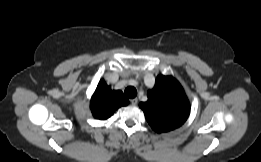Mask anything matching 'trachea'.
<instances>
[{
  "instance_id": "1",
  "label": "trachea",
  "mask_w": 261,
  "mask_h": 162,
  "mask_svg": "<svg viewBox=\"0 0 261 162\" xmlns=\"http://www.w3.org/2000/svg\"><path fill=\"white\" fill-rule=\"evenodd\" d=\"M125 95L128 97V98H135L136 97V95H137V90H136V88H134V87H127L126 89H125Z\"/></svg>"
}]
</instances>
